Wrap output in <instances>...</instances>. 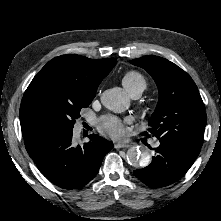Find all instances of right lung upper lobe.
Returning a JSON list of instances; mask_svg holds the SVG:
<instances>
[{
  "mask_svg": "<svg viewBox=\"0 0 221 221\" xmlns=\"http://www.w3.org/2000/svg\"><path fill=\"white\" fill-rule=\"evenodd\" d=\"M116 63L115 58L96 60L79 55H62L48 62L28 88L45 83L66 93L95 97L99 84ZM19 116L24 138L34 132L53 128L49 122L31 116L23 104Z\"/></svg>",
  "mask_w": 221,
  "mask_h": 221,
  "instance_id": "right-lung-upper-lobe-1",
  "label": "right lung upper lobe"
}]
</instances>
